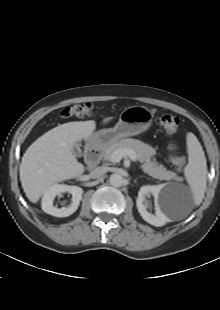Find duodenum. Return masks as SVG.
<instances>
[{"mask_svg":"<svg viewBox=\"0 0 220 310\" xmlns=\"http://www.w3.org/2000/svg\"><path fill=\"white\" fill-rule=\"evenodd\" d=\"M103 153V147L96 145L91 147L86 153V163L88 168H94L98 165Z\"/></svg>","mask_w":220,"mask_h":310,"instance_id":"1","label":"duodenum"}]
</instances>
